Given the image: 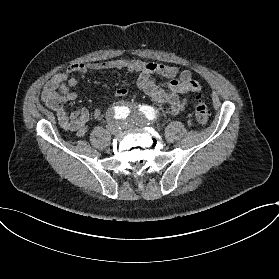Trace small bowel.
I'll list each match as a JSON object with an SVG mask.
<instances>
[{"label":"small bowel","instance_id":"small-bowel-1","mask_svg":"<svg viewBox=\"0 0 279 279\" xmlns=\"http://www.w3.org/2000/svg\"><path fill=\"white\" fill-rule=\"evenodd\" d=\"M106 70H127L138 73L139 88L154 101L167 105L170 115H177L186 108L187 100L181 96L182 94L201 90V84L193 78L189 70H180L158 62L119 58L95 63L73 64L54 75L44 86L41 95L42 104L56 113L58 123L62 128L75 133L78 137L85 135L90 112L86 108L69 112L65 106L68 101L77 99V94L71 90L78 83L75 74ZM153 75H161L168 81L163 85L157 84L152 79ZM115 95L124 97L127 95V90L120 88ZM91 114L98 119L102 111L96 107Z\"/></svg>","mask_w":279,"mask_h":279}]
</instances>
